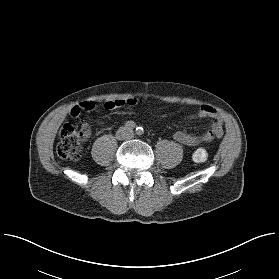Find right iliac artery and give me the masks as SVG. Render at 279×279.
I'll return each instance as SVG.
<instances>
[{"label":"right iliac artery","instance_id":"obj_1","mask_svg":"<svg viewBox=\"0 0 279 279\" xmlns=\"http://www.w3.org/2000/svg\"><path fill=\"white\" fill-rule=\"evenodd\" d=\"M125 130H132L134 128V123L132 121H128L126 124H125ZM138 128V127H137Z\"/></svg>","mask_w":279,"mask_h":279}]
</instances>
